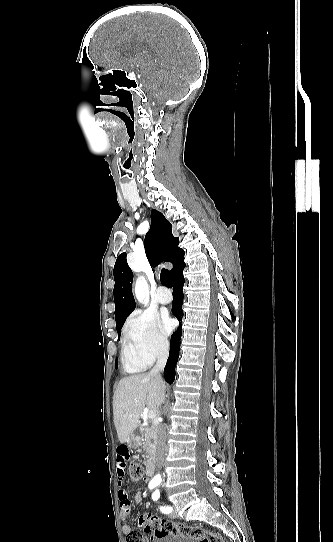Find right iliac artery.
Wrapping results in <instances>:
<instances>
[{"label":"right iliac artery","mask_w":333,"mask_h":542,"mask_svg":"<svg viewBox=\"0 0 333 542\" xmlns=\"http://www.w3.org/2000/svg\"><path fill=\"white\" fill-rule=\"evenodd\" d=\"M157 485H158V483H150V484H149V488H150V489H153V488H155Z\"/></svg>","instance_id":"1"}]
</instances>
